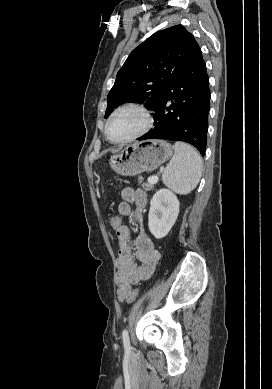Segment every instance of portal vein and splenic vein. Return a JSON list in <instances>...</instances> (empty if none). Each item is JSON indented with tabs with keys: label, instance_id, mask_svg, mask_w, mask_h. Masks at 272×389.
<instances>
[{
	"label": "portal vein and splenic vein",
	"instance_id": "1",
	"mask_svg": "<svg viewBox=\"0 0 272 389\" xmlns=\"http://www.w3.org/2000/svg\"><path fill=\"white\" fill-rule=\"evenodd\" d=\"M149 182L152 184H156L158 182V176H152L149 178Z\"/></svg>",
	"mask_w": 272,
	"mask_h": 389
}]
</instances>
